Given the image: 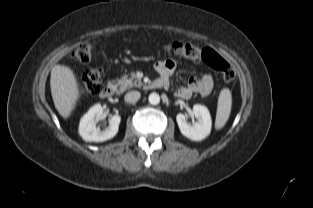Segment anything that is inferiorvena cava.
I'll return each instance as SVG.
<instances>
[{"label": "inferior vena cava", "mask_w": 313, "mask_h": 208, "mask_svg": "<svg viewBox=\"0 0 313 208\" xmlns=\"http://www.w3.org/2000/svg\"><path fill=\"white\" fill-rule=\"evenodd\" d=\"M140 96H141L140 92H138V91H131V92H128V93L125 94L124 99H125V101L127 103L134 104V103H136L140 99Z\"/></svg>", "instance_id": "602c4592"}]
</instances>
